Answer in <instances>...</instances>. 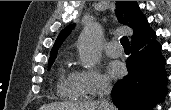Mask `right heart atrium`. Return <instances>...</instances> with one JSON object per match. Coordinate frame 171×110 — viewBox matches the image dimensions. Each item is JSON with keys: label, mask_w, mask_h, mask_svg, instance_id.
Masks as SVG:
<instances>
[{"label": "right heart atrium", "mask_w": 171, "mask_h": 110, "mask_svg": "<svg viewBox=\"0 0 171 110\" xmlns=\"http://www.w3.org/2000/svg\"><path fill=\"white\" fill-rule=\"evenodd\" d=\"M75 75L83 89L84 98L95 97L109 87L108 80L96 69L79 70Z\"/></svg>", "instance_id": "1"}]
</instances>
